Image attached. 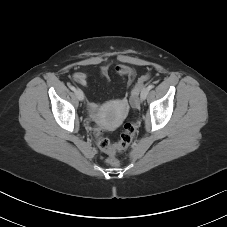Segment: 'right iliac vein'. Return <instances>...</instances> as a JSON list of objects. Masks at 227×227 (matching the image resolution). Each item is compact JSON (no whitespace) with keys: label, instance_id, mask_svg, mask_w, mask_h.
<instances>
[{"label":"right iliac vein","instance_id":"obj_1","mask_svg":"<svg viewBox=\"0 0 227 227\" xmlns=\"http://www.w3.org/2000/svg\"><path fill=\"white\" fill-rule=\"evenodd\" d=\"M75 95L80 101L84 99V93L80 89L75 90Z\"/></svg>","mask_w":227,"mask_h":227}]
</instances>
